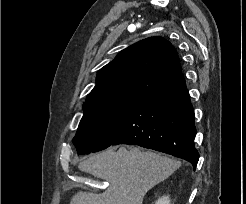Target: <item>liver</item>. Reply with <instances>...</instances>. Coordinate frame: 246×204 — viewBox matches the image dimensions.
I'll return each instance as SVG.
<instances>
[{
    "label": "liver",
    "mask_w": 246,
    "mask_h": 204,
    "mask_svg": "<svg viewBox=\"0 0 246 204\" xmlns=\"http://www.w3.org/2000/svg\"><path fill=\"white\" fill-rule=\"evenodd\" d=\"M181 163L138 147L110 148L81 161L78 168L109 182L100 194L76 193L70 204H142L145 194L174 173Z\"/></svg>",
    "instance_id": "liver-1"
}]
</instances>
